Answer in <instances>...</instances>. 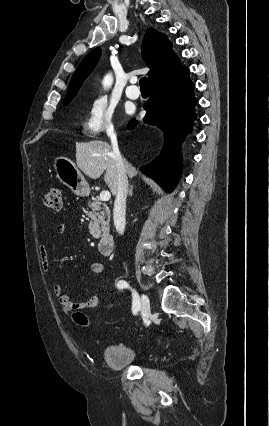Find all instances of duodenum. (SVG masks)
Listing matches in <instances>:
<instances>
[{"instance_id":"1","label":"duodenum","mask_w":269,"mask_h":426,"mask_svg":"<svg viewBox=\"0 0 269 426\" xmlns=\"http://www.w3.org/2000/svg\"><path fill=\"white\" fill-rule=\"evenodd\" d=\"M99 252L104 256L112 253L114 247V236L112 233H104L101 235L98 243Z\"/></svg>"}]
</instances>
